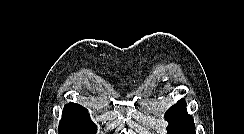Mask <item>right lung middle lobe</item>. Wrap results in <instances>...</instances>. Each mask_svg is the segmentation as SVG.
I'll list each match as a JSON object with an SVG mask.
<instances>
[{
  "mask_svg": "<svg viewBox=\"0 0 244 134\" xmlns=\"http://www.w3.org/2000/svg\"><path fill=\"white\" fill-rule=\"evenodd\" d=\"M59 134H96V126L91 120L62 119Z\"/></svg>",
  "mask_w": 244,
  "mask_h": 134,
  "instance_id": "obj_1",
  "label": "right lung middle lobe"
}]
</instances>
